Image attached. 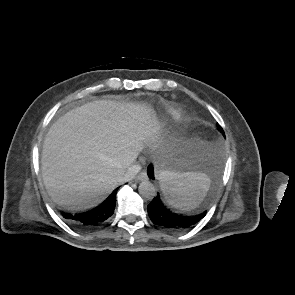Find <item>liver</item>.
<instances>
[{
	"label": "liver",
	"instance_id": "6515ba94",
	"mask_svg": "<svg viewBox=\"0 0 295 295\" xmlns=\"http://www.w3.org/2000/svg\"><path fill=\"white\" fill-rule=\"evenodd\" d=\"M159 133L155 112L146 104L99 100L67 112L43 144L41 170L48 194L67 209L96 207Z\"/></svg>",
	"mask_w": 295,
	"mask_h": 295
}]
</instances>
